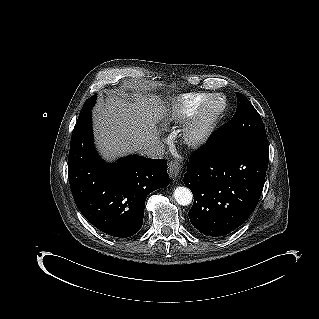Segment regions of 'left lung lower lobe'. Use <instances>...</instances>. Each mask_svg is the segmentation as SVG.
I'll list each match as a JSON object with an SVG mask.
<instances>
[{
    "label": "left lung lower lobe",
    "mask_w": 319,
    "mask_h": 319,
    "mask_svg": "<svg viewBox=\"0 0 319 319\" xmlns=\"http://www.w3.org/2000/svg\"><path fill=\"white\" fill-rule=\"evenodd\" d=\"M206 145L189 159L184 183L194 195L188 213L192 225L202 235L217 238L234 231L254 211L265 182L269 147L267 141L216 151Z\"/></svg>",
    "instance_id": "1"
}]
</instances>
